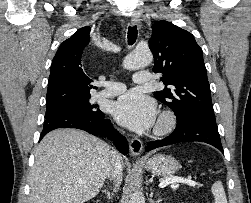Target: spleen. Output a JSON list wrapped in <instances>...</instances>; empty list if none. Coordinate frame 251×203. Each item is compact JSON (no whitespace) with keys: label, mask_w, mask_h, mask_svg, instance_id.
<instances>
[{"label":"spleen","mask_w":251,"mask_h":203,"mask_svg":"<svg viewBox=\"0 0 251 203\" xmlns=\"http://www.w3.org/2000/svg\"><path fill=\"white\" fill-rule=\"evenodd\" d=\"M211 191L215 197V203H227L225 191L221 181H216L212 185Z\"/></svg>","instance_id":"3e777b00"}]
</instances>
